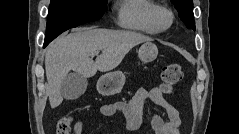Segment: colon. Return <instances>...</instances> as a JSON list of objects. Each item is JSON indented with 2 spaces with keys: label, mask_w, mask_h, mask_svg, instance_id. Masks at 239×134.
I'll return each mask as SVG.
<instances>
[{
  "label": "colon",
  "mask_w": 239,
  "mask_h": 134,
  "mask_svg": "<svg viewBox=\"0 0 239 134\" xmlns=\"http://www.w3.org/2000/svg\"><path fill=\"white\" fill-rule=\"evenodd\" d=\"M183 75L182 67L178 63H170L163 67L161 73L162 89L166 93H171ZM71 118L69 116H62L59 119L57 126V134H70Z\"/></svg>",
  "instance_id": "obj_1"
}]
</instances>
